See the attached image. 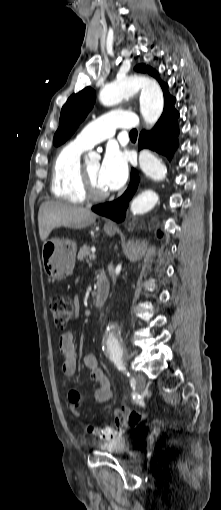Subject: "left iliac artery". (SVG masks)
<instances>
[{
	"instance_id": "1",
	"label": "left iliac artery",
	"mask_w": 221,
	"mask_h": 510,
	"mask_svg": "<svg viewBox=\"0 0 221 510\" xmlns=\"http://www.w3.org/2000/svg\"><path fill=\"white\" fill-rule=\"evenodd\" d=\"M123 355V349L119 346V344H114L109 349V356L111 361L114 362V364L117 366V368L127 374V376H130V373L126 371L125 365L122 360ZM134 381L132 380V383Z\"/></svg>"
}]
</instances>
